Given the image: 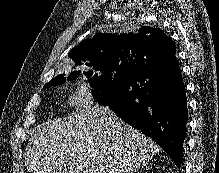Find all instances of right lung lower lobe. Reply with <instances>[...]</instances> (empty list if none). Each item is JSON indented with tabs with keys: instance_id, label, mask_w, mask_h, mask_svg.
Returning a JSON list of instances; mask_svg holds the SVG:
<instances>
[{
	"instance_id": "98d812e1",
	"label": "right lung lower lobe",
	"mask_w": 219,
	"mask_h": 173,
	"mask_svg": "<svg viewBox=\"0 0 219 173\" xmlns=\"http://www.w3.org/2000/svg\"><path fill=\"white\" fill-rule=\"evenodd\" d=\"M103 106L151 137L180 168L188 110L177 59L169 65L155 59L141 63Z\"/></svg>"
}]
</instances>
